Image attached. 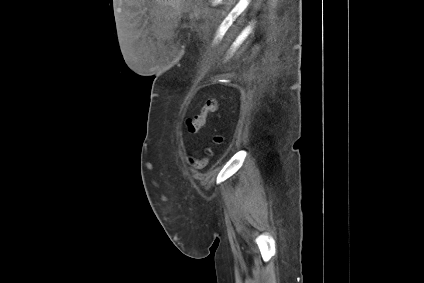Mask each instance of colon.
<instances>
[{
	"instance_id": "obj_1",
	"label": "colon",
	"mask_w": 424,
	"mask_h": 283,
	"mask_svg": "<svg viewBox=\"0 0 424 283\" xmlns=\"http://www.w3.org/2000/svg\"><path fill=\"white\" fill-rule=\"evenodd\" d=\"M218 109V101L215 99H211L207 101V103L202 108L201 112L195 116H192L187 119L186 125L189 133H197L199 132L205 125L206 118L209 114L215 113ZM223 142V136L217 134L213 137V143L215 145H219ZM212 155V149H206V156L203 159H190L191 166L196 170L203 169Z\"/></svg>"
}]
</instances>
